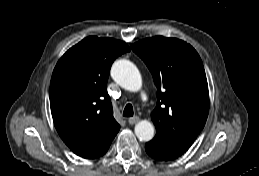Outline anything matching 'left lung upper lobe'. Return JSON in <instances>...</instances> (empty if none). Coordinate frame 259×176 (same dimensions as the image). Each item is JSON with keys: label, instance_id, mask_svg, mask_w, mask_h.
<instances>
[{"label": "left lung upper lobe", "instance_id": "1", "mask_svg": "<svg viewBox=\"0 0 259 176\" xmlns=\"http://www.w3.org/2000/svg\"><path fill=\"white\" fill-rule=\"evenodd\" d=\"M157 87L151 114L157 133L149 143L173 158L185 153L203 129L209 111L207 79L200 56L186 42L162 36L131 45Z\"/></svg>", "mask_w": 259, "mask_h": 176}]
</instances>
